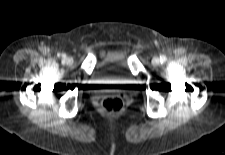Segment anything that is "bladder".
Returning a JSON list of instances; mask_svg holds the SVG:
<instances>
[{"label":"bladder","instance_id":"1","mask_svg":"<svg viewBox=\"0 0 225 155\" xmlns=\"http://www.w3.org/2000/svg\"><path fill=\"white\" fill-rule=\"evenodd\" d=\"M93 76L101 83H112L124 87L131 84L126 56L119 51L109 52L102 57L95 66Z\"/></svg>","mask_w":225,"mask_h":155}]
</instances>
